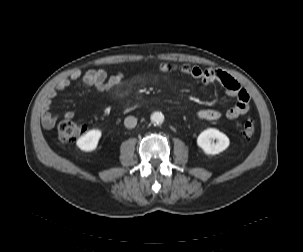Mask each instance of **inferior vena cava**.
Returning <instances> with one entry per match:
<instances>
[{
	"label": "inferior vena cava",
	"mask_w": 303,
	"mask_h": 252,
	"mask_svg": "<svg viewBox=\"0 0 303 252\" xmlns=\"http://www.w3.org/2000/svg\"><path fill=\"white\" fill-rule=\"evenodd\" d=\"M126 128H134L137 125V119L134 116H128L124 120Z\"/></svg>",
	"instance_id": "obj_1"
}]
</instances>
